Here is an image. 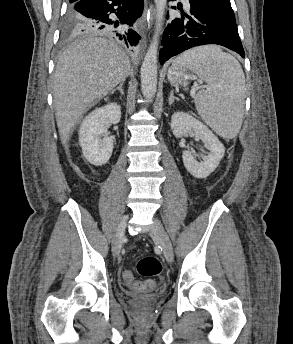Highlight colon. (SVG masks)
I'll list each match as a JSON object with an SVG mask.
<instances>
[{
    "mask_svg": "<svg viewBox=\"0 0 293 344\" xmlns=\"http://www.w3.org/2000/svg\"><path fill=\"white\" fill-rule=\"evenodd\" d=\"M163 266L161 261L156 257H145L137 263V272L145 278H152L161 274ZM123 278L128 285L134 286L136 284L133 274L130 270L123 272ZM155 286L151 280L143 283V289L148 290Z\"/></svg>",
    "mask_w": 293,
    "mask_h": 344,
    "instance_id": "colon-1",
    "label": "colon"
}]
</instances>
